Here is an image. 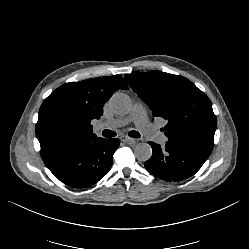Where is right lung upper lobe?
<instances>
[{
    "label": "right lung upper lobe",
    "instance_id": "1",
    "mask_svg": "<svg viewBox=\"0 0 249 249\" xmlns=\"http://www.w3.org/2000/svg\"><path fill=\"white\" fill-rule=\"evenodd\" d=\"M118 89H128L120 75L70 82L54 90L42 103L35 127L44 163L77 144L99 139L91 121L103 115L104 104Z\"/></svg>",
    "mask_w": 249,
    "mask_h": 249
}]
</instances>
